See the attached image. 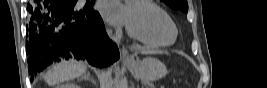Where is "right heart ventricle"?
I'll list each match as a JSON object with an SVG mask.
<instances>
[{"label": "right heart ventricle", "instance_id": "obj_1", "mask_svg": "<svg viewBox=\"0 0 267 88\" xmlns=\"http://www.w3.org/2000/svg\"><path fill=\"white\" fill-rule=\"evenodd\" d=\"M146 2L149 3V4H151V5L154 6V7L160 8V7H158L155 3H153L152 1L146 0Z\"/></svg>", "mask_w": 267, "mask_h": 88}]
</instances>
